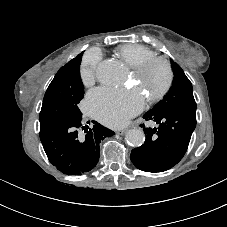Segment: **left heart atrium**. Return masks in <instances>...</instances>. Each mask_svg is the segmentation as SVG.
Segmentation results:
<instances>
[{"instance_id":"39dd6f15","label":"left heart atrium","mask_w":227,"mask_h":227,"mask_svg":"<svg viewBox=\"0 0 227 227\" xmlns=\"http://www.w3.org/2000/svg\"><path fill=\"white\" fill-rule=\"evenodd\" d=\"M85 104L94 118L119 127L142 110L145 98L131 90L97 88L88 94Z\"/></svg>"}]
</instances>
